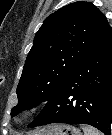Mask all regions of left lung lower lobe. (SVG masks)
<instances>
[{
	"mask_svg": "<svg viewBox=\"0 0 112 135\" xmlns=\"http://www.w3.org/2000/svg\"><path fill=\"white\" fill-rule=\"evenodd\" d=\"M112 122V28L88 52L61 88L28 125L88 124L110 135Z\"/></svg>",
	"mask_w": 112,
	"mask_h": 135,
	"instance_id": "1",
	"label": "left lung lower lobe"
}]
</instances>
